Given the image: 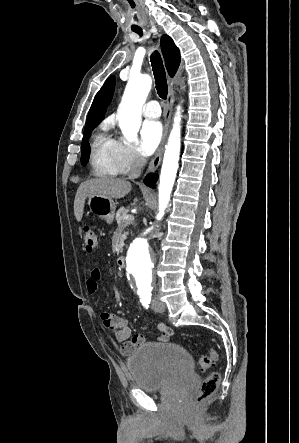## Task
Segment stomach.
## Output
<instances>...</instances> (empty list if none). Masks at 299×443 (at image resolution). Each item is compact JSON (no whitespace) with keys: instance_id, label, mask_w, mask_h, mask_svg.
<instances>
[{"instance_id":"0dacf381","label":"stomach","mask_w":299,"mask_h":443,"mask_svg":"<svg viewBox=\"0 0 299 443\" xmlns=\"http://www.w3.org/2000/svg\"><path fill=\"white\" fill-rule=\"evenodd\" d=\"M88 206L91 213L104 219L108 224H112L116 209L112 199L98 195L89 196Z\"/></svg>"}]
</instances>
